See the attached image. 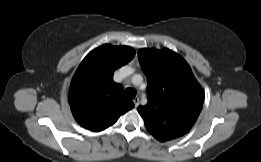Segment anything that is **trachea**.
<instances>
[{"label": "trachea", "mask_w": 261, "mask_h": 162, "mask_svg": "<svg viewBox=\"0 0 261 162\" xmlns=\"http://www.w3.org/2000/svg\"><path fill=\"white\" fill-rule=\"evenodd\" d=\"M124 95H125V98H127L128 100H132L136 96V91L134 89H132V88H127L125 90Z\"/></svg>", "instance_id": "obj_1"}]
</instances>
